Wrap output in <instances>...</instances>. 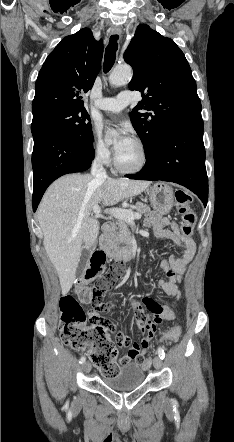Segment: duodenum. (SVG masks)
<instances>
[{
    "mask_svg": "<svg viewBox=\"0 0 234 442\" xmlns=\"http://www.w3.org/2000/svg\"><path fill=\"white\" fill-rule=\"evenodd\" d=\"M102 251L101 253H106L115 262L127 263L133 260L137 255V249L135 246H126L122 248L115 247L110 242V237L113 232V225L111 223H106L102 227Z\"/></svg>",
    "mask_w": 234,
    "mask_h": 442,
    "instance_id": "1",
    "label": "duodenum"
}]
</instances>
